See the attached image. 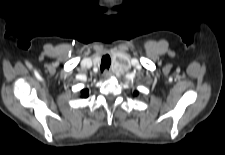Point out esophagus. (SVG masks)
Instances as JSON below:
<instances>
[{
    "instance_id": "34e87169",
    "label": "esophagus",
    "mask_w": 225,
    "mask_h": 155,
    "mask_svg": "<svg viewBox=\"0 0 225 155\" xmlns=\"http://www.w3.org/2000/svg\"><path fill=\"white\" fill-rule=\"evenodd\" d=\"M111 76H112V72H111L110 70L106 69V70L104 71V73H103V77H104L105 79H107V78H109V77H111Z\"/></svg>"
}]
</instances>
